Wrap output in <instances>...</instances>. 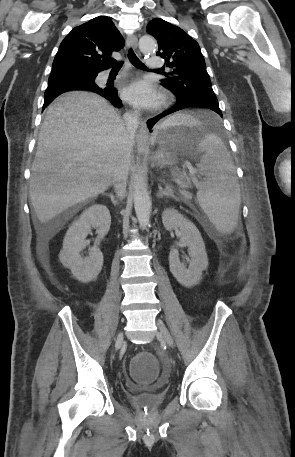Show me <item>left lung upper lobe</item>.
Listing matches in <instances>:
<instances>
[{
	"instance_id": "1",
	"label": "left lung upper lobe",
	"mask_w": 295,
	"mask_h": 457,
	"mask_svg": "<svg viewBox=\"0 0 295 457\" xmlns=\"http://www.w3.org/2000/svg\"><path fill=\"white\" fill-rule=\"evenodd\" d=\"M149 34L158 42V56L171 68L163 73L161 85L171 90L182 101L192 96L215 95L206 71L199 44L181 28L155 18L147 25Z\"/></svg>"
}]
</instances>
